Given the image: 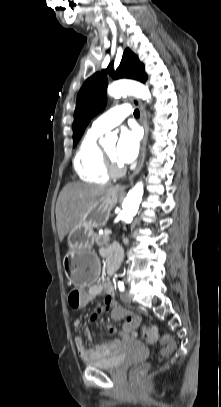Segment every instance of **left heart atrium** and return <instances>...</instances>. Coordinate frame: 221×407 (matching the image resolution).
<instances>
[{"label":"left heart atrium","mask_w":221,"mask_h":407,"mask_svg":"<svg viewBox=\"0 0 221 407\" xmlns=\"http://www.w3.org/2000/svg\"><path fill=\"white\" fill-rule=\"evenodd\" d=\"M140 135L137 130L123 129L116 146V159L120 164L133 162L139 152Z\"/></svg>","instance_id":"39dd6f15"}]
</instances>
